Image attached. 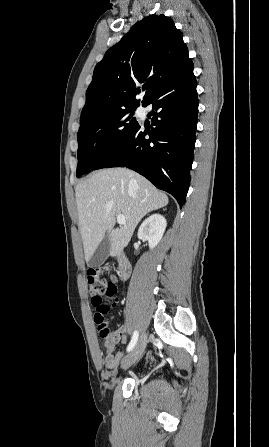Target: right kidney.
<instances>
[{"mask_svg": "<svg viewBox=\"0 0 269 447\" xmlns=\"http://www.w3.org/2000/svg\"><path fill=\"white\" fill-rule=\"evenodd\" d=\"M167 222L161 214H153L149 216L138 229L139 239H148L150 249H154L158 245L162 235L166 229Z\"/></svg>", "mask_w": 269, "mask_h": 447, "instance_id": "obj_1", "label": "right kidney"}]
</instances>
